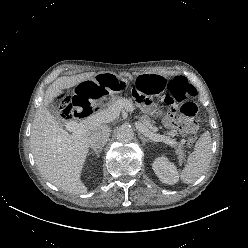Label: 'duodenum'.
I'll return each mask as SVG.
<instances>
[{
    "label": "duodenum",
    "instance_id": "obj_1",
    "mask_svg": "<svg viewBox=\"0 0 248 248\" xmlns=\"http://www.w3.org/2000/svg\"><path fill=\"white\" fill-rule=\"evenodd\" d=\"M80 117H87L92 113L93 107L88 105H82L79 107Z\"/></svg>",
    "mask_w": 248,
    "mask_h": 248
}]
</instances>
